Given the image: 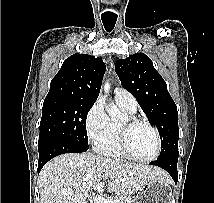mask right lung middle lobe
Wrapping results in <instances>:
<instances>
[{"instance_id": "dd1d6c3e", "label": "right lung middle lobe", "mask_w": 214, "mask_h": 203, "mask_svg": "<svg viewBox=\"0 0 214 203\" xmlns=\"http://www.w3.org/2000/svg\"><path fill=\"white\" fill-rule=\"evenodd\" d=\"M93 105L80 100H44L38 150L59 143L88 150L86 118Z\"/></svg>"}]
</instances>
